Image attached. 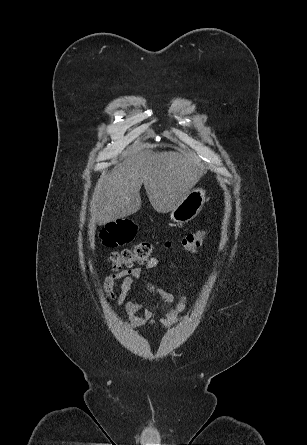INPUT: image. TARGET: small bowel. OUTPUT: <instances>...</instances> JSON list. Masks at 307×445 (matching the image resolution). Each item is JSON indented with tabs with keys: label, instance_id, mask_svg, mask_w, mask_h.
<instances>
[{
	"label": "small bowel",
	"instance_id": "1",
	"mask_svg": "<svg viewBox=\"0 0 307 445\" xmlns=\"http://www.w3.org/2000/svg\"><path fill=\"white\" fill-rule=\"evenodd\" d=\"M159 265L156 258L148 261L143 269L130 268L111 273L104 278V289L110 301L118 305H122L128 316L127 323L131 327H141L153 319V311L156 303H149L145 300L126 301V298L135 283H140L146 292L153 298L159 299L165 306V317L161 320V324L165 327L174 325L178 321V316L184 311L187 303L186 295H182L176 304H174V296L167 290L157 287L147 276L146 271L153 269ZM117 281H121V292L115 295L113 292L114 285ZM142 314V316H139Z\"/></svg>",
	"mask_w": 307,
	"mask_h": 445
}]
</instances>
